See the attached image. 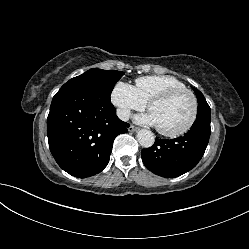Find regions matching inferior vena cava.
I'll list each match as a JSON object with an SVG mask.
<instances>
[{
    "label": "inferior vena cava",
    "mask_w": 249,
    "mask_h": 249,
    "mask_svg": "<svg viewBox=\"0 0 249 249\" xmlns=\"http://www.w3.org/2000/svg\"><path fill=\"white\" fill-rule=\"evenodd\" d=\"M117 116L122 120V121H128L130 117V111L126 109H118L117 110Z\"/></svg>",
    "instance_id": "602c4592"
}]
</instances>
